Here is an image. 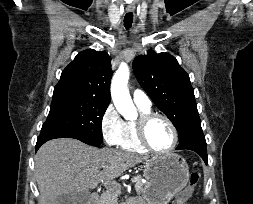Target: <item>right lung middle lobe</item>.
<instances>
[{
	"mask_svg": "<svg viewBox=\"0 0 253 204\" xmlns=\"http://www.w3.org/2000/svg\"><path fill=\"white\" fill-rule=\"evenodd\" d=\"M108 105L74 90L54 89L50 112L41 133L60 134L89 145H100L101 122Z\"/></svg>",
	"mask_w": 253,
	"mask_h": 204,
	"instance_id": "1",
	"label": "right lung middle lobe"
}]
</instances>
